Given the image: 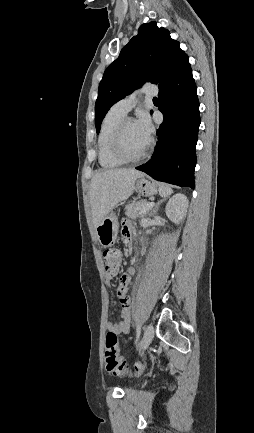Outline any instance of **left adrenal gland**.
Masks as SVG:
<instances>
[{
  "instance_id": "left-adrenal-gland-1",
  "label": "left adrenal gland",
  "mask_w": 254,
  "mask_h": 433,
  "mask_svg": "<svg viewBox=\"0 0 254 433\" xmlns=\"http://www.w3.org/2000/svg\"><path fill=\"white\" fill-rule=\"evenodd\" d=\"M165 200H166V198H164V199L158 201V202L155 204L154 209H153V211H152V214H156V212L158 211V208H159L160 204H161L163 201H165Z\"/></svg>"
}]
</instances>
